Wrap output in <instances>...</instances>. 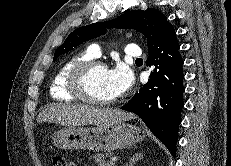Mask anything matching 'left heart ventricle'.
Here are the masks:
<instances>
[{"label": "left heart ventricle", "instance_id": "left-heart-ventricle-1", "mask_svg": "<svg viewBox=\"0 0 231 166\" xmlns=\"http://www.w3.org/2000/svg\"><path fill=\"white\" fill-rule=\"evenodd\" d=\"M87 88L90 94L99 99H113L106 68L95 69L87 80Z\"/></svg>", "mask_w": 231, "mask_h": 166}]
</instances>
